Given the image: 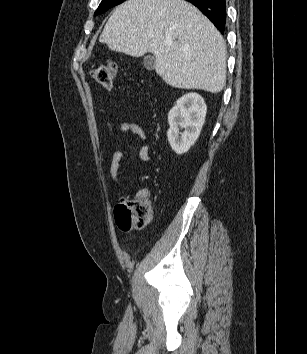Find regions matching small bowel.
Masks as SVG:
<instances>
[{
	"label": "small bowel",
	"instance_id": "1",
	"mask_svg": "<svg viewBox=\"0 0 307 354\" xmlns=\"http://www.w3.org/2000/svg\"><path fill=\"white\" fill-rule=\"evenodd\" d=\"M118 130L120 132H130L136 135L142 142V145L139 149V158L142 161L149 162L152 160V156L150 155V144L148 141V136L145 129L134 122H122L118 125ZM124 157V153L122 151H116L110 162V175L112 179L116 182V184L126 192H129L130 189L127 185H125L120 178V163ZM149 195V191L147 189H139L134 192V198H147Z\"/></svg>",
	"mask_w": 307,
	"mask_h": 354
}]
</instances>
